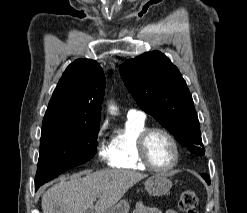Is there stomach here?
<instances>
[{"label":"stomach","instance_id":"stomach-1","mask_svg":"<svg viewBox=\"0 0 247 213\" xmlns=\"http://www.w3.org/2000/svg\"><path fill=\"white\" fill-rule=\"evenodd\" d=\"M172 187V181L166 176L155 174L149 177L145 182L146 191L152 196H162L169 192ZM129 203L126 200H120L111 208L103 213H129Z\"/></svg>","mask_w":247,"mask_h":213}]
</instances>
